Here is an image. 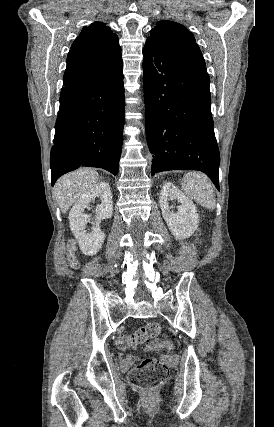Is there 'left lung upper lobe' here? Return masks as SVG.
<instances>
[{
  "instance_id": "5c2ea615",
  "label": "left lung upper lobe",
  "mask_w": 274,
  "mask_h": 427,
  "mask_svg": "<svg viewBox=\"0 0 274 427\" xmlns=\"http://www.w3.org/2000/svg\"><path fill=\"white\" fill-rule=\"evenodd\" d=\"M147 40L161 44L169 52L205 67V61L193 34L185 26L168 20L158 22Z\"/></svg>"
}]
</instances>
